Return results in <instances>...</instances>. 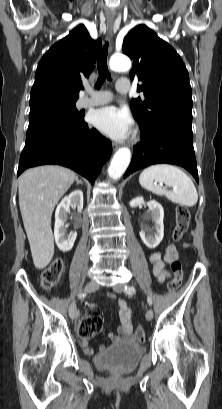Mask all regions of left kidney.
<instances>
[{"label":"left kidney","mask_w":222,"mask_h":409,"mask_svg":"<svg viewBox=\"0 0 222 409\" xmlns=\"http://www.w3.org/2000/svg\"><path fill=\"white\" fill-rule=\"evenodd\" d=\"M143 197H137L130 201L129 205L132 208L140 207L144 204ZM149 208V217L154 222L155 233L152 234L149 228H144L140 232V237L143 243L150 249L156 248L164 236V210L156 200H150L146 203Z\"/></svg>","instance_id":"obj_1"}]
</instances>
